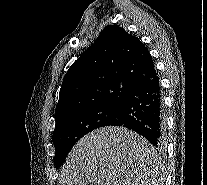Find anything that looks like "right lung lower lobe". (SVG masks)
Wrapping results in <instances>:
<instances>
[{"label":"right lung lower lobe","mask_w":207,"mask_h":185,"mask_svg":"<svg viewBox=\"0 0 207 185\" xmlns=\"http://www.w3.org/2000/svg\"><path fill=\"white\" fill-rule=\"evenodd\" d=\"M110 125L129 128L145 137L154 147L163 150L165 115L157 76L129 94L115 120L105 126Z\"/></svg>","instance_id":"right-lung-lower-lobe-1"}]
</instances>
